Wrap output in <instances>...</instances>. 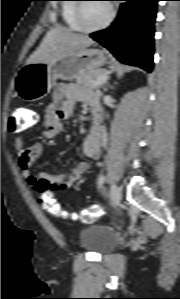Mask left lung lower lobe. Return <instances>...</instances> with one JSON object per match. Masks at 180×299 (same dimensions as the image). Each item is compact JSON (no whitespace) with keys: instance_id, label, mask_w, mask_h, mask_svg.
Here are the masks:
<instances>
[{"instance_id":"obj_1","label":"left lung lower lobe","mask_w":180,"mask_h":299,"mask_svg":"<svg viewBox=\"0 0 180 299\" xmlns=\"http://www.w3.org/2000/svg\"><path fill=\"white\" fill-rule=\"evenodd\" d=\"M119 14L112 25L90 34L120 62L147 72L153 67V38L156 6L160 0H121Z\"/></svg>"}]
</instances>
